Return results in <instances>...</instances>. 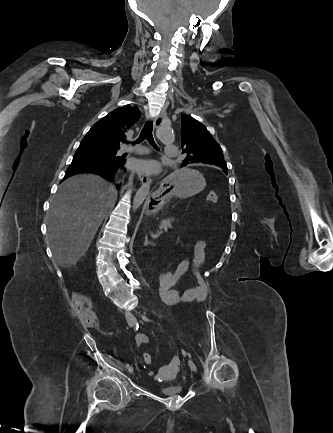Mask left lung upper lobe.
<instances>
[{
    "label": "left lung upper lobe",
    "mask_w": 333,
    "mask_h": 433,
    "mask_svg": "<svg viewBox=\"0 0 333 433\" xmlns=\"http://www.w3.org/2000/svg\"><path fill=\"white\" fill-rule=\"evenodd\" d=\"M181 138L182 153L186 157L182 166L188 164H211L227 170L220 146L214 141L206 127L190 115L183 114Z\"/></svg>",
    "instance_id": "5c2ea615"
}]
</instances>
